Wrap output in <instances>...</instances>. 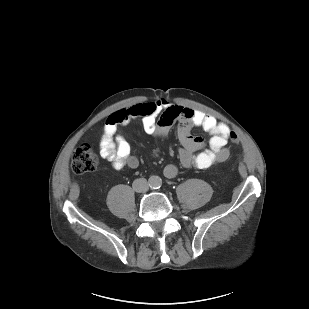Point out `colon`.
Masks as SVG:
<instances>
[{"mask_svg":"<svg viewBox=\"0 0 309 309\" xmlns=\"http://www.w3.org/2000/svg\"><path fill=\"white\" fill-rule=\"evenodd\" d=\"M229 138L234 144L238 142V136L234 132L230 133ZM98 164V156L93 148L88 144L78 147L72 155L71 169L76 174L93 172L96 170Z\"/></svg>","mask_w":309,"mask_h":309,"instance_id":"obj_1","label":"colon"}]
</instances>
